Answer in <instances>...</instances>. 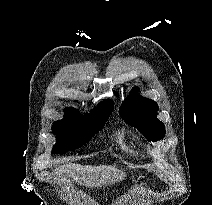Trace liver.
<instances>
[{"mask_svg":"<svg viewBox=\"0 0 212 205\" xmlns=\"http://www.w3.org/2000/svg\"><path fill=\"white\" fill-rule=\"evenodd\" d=\"M119 172V170L110 166L92 167L79 164L64 165L55 170V174L58 175L61 182H65L69 177L80 184L83 181L86 186L92 187L113 182L118 177L122 179V173L118 176Z\"/></svg>","mask_w":212,"mask_h":205,"instance_id":"6515ba94","label":"liver"}]
</instances>
